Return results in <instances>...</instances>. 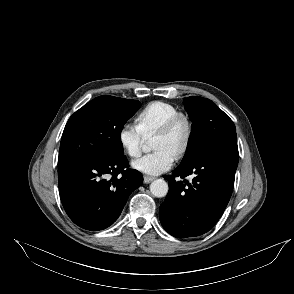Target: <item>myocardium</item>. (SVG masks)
I'll return each mask as SVG.
<instances>
[{
    "instance_id": "obj_1",
    "label": "myocardium",
    "mask_w": 294,
    "mask_h": 294,
    "mask_svg": "<svg viewBox=\"0 0 294 294\" xmlns=\"http://www.w3.org/2000/svg\"><path fill=\"white\" fill-rule=\"evenodd\" d=\"M179 125L184 126L185 134L181 145L175 153L177 158L183 157L190 148L194 134V125L192 120L188 116L179 113L167 120L154 133L155 135H168L171 134Z\"/></svg>"
}]
</instances>
